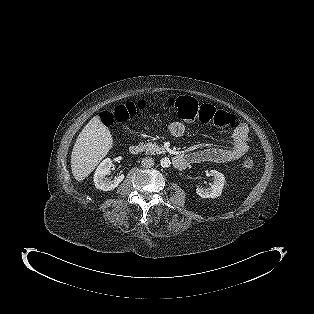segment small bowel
<instances>
[{
    "instance_id": "obj_1",
    "label": "small bowel",
    "mask_w": 314,
    "mask_h": 314,
    "mask_svg": "<svg viewBox=\"0 0 314 314\" xmlns=\"http://www.w3.org/2000/svg\"><path fill=\"white\" fill-rule=\"evenodd\" d=\"M186 131L184 123L175 121L167 126V133L172 137H180ZM249 149L248 128L245 124H240L236 127L231 145L227 148H207L200 151L187 154L190 163H232L244 154Z\"/></svg>"
}]
</instances>
